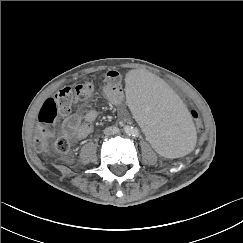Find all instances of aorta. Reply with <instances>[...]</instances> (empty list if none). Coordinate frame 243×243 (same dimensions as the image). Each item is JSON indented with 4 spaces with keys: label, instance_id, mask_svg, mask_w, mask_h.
<instances>
[{
    "label": "aorta",
    "instance_id": "obj_1",
    "mask_svg": "<svg viewBox=\"0 0 243 243\" xmlns=\"http://www.w3.org/2000/svg\"><path fill=\"white\" fill-rule=\"evenodd\" d=\"M129 131H130V129H129V128H127V129H126V132H129Z\"/></svg>",
    "mask_w": 243,
    "mask_h": 243
}]
</instances>
